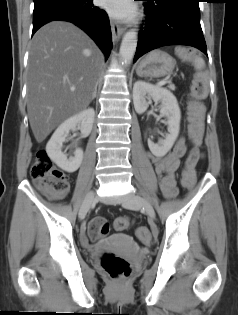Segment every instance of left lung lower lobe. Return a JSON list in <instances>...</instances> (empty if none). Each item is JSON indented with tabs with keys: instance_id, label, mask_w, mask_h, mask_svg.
Masks as SVG:
<instances>
[{
	"instance_id": "left-lung-lower-lobe-1",
	"label": "left lung lower lobe",
	"mask_w": 238,
	"mask_h": 315,
	"mask_svg": "<svg viewBox=\"0 0 238 315\" xmlns=\"http://www.w3.org/2000/svg\"><path fill=\"white\" fill-rule=\"evenodd\" d=\"M148 1V15L140 30L134 62L145 53L161 46L188 45L207 55L200 25L199 0Z\"/></svg>"
}]
</instances>
